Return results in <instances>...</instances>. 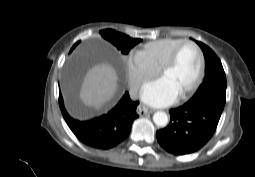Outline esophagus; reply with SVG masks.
Masks as SVG:
<instances>
[{
	"mask_svg": "<svg viewBox=\"0 0 255 177\" xmlns=\"http://www.w3.org/2000/svg\"><path fill=\"white\" fill-rule=\"evenodd\" d=\"M155 110L150 108V107H147L145 105H139L137 107V113L140 115V116H144V115H148V114H151L153 113Z\"/></svg>",
	"mask_w": 255,
	"mask_h": 177,
	"instance_id": "1",
	"label": "esophagus"
}]
</instances>
